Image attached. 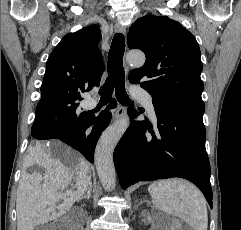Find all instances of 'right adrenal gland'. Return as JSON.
<instances>
[{
    "instance_id": "1",
    "label": "right adrenal gland",
    "mask_w": 241,
    "mask_h": 230,
    "mask_svg": "<svg viewBox=\"0 0 241 230\" xmlns=\"http://www.w3.org/2000/svg\"><path fill=\"white\" fill-rule=\"evenodd\" d=\"M91 191H92V185L90 184L87 191H86V194L83 195L80 199H78L77 201H81L82 199H87L89 200L90 197H91Z\"/></svg>"
}]
</instances>
